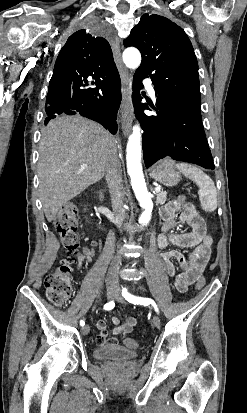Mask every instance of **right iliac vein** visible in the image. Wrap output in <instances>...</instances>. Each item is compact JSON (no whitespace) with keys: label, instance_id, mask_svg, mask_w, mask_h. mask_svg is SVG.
<instances>
[{"label":"right iliac vein","instance_id":"1","mask_svg":"<svg viewBox=\"0 0 247 413\" xmlns=\"http://www.w3.org/2000/svg\"><path fill=\"white\" fill-rule=\"evenodd\" d=\"M116 290H117V288H116L115 285H113V284L112 285H107V289H106L107 298L111 299L114 296ZM89 330H90L89 326L85 325L84 327H82L81 333L83 335H87L89 333Z\"/></svg>","mask_w":247,"mask_h":413}]
</instances>
